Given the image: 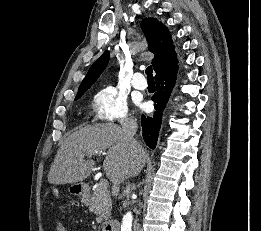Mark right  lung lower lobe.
Returning a JSON list of instances; mask_svg holds the SVG:
<instances>
[{"label": "right lung lower lobe", "mask_w": 261, "mask_h": 231, "mask_svg": "<svg viewBox=\"0 0 261 231\" xmlns=\"http://www.w3.org/2000/svg\"><path fill=\"white\" fill-rule=\"evenodd\" d=\"M178 66L169 69L155 77L157 84V91L152 96L155 102L154 115L151 117L142 115L141 124L143 130V138L145 143L151 149H154L157 144L158 134L161 125L162 111L170 97L171 91L175 85L177 78Z\"/></svg>", "instance_id": "right-lung-lower-lobe-1"}]
</instances>
